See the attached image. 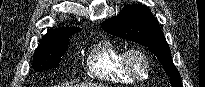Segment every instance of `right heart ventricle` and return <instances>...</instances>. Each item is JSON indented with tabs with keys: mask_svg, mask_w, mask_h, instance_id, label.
<instances>
[{
	"mask_svg": "<svg viewBox=\"0 0 205 87\" xmlns=\"http://www.w3.org/2000/svg\"><path fill=\"white\" fill-rule=\"evenodd\" d=\"M124 49L111 40H101L88 51L86 65L89 73L97 80L112 84H133L123 69L121 56Z\"/></svg>",
	"mask_w": 205,
	"mask_h": 87,
	"instance_id": "e07e8e85",
	"label": "right heart ventricle"
}]
</instances>
